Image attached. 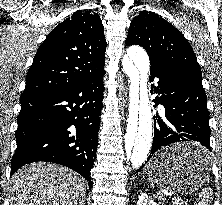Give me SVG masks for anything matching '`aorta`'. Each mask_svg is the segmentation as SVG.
I'll list each match as a JSON object with an SVG mask.
<instances>
[{
  "instance_id": "aorta-1",
  "label": "aorta",
  "mask_w": 222,
  "mask_h": 205,
  "mask_svg": "<svg viewBox=\"0 0 222 205\" xmlns=\"http://www.w3.org/2000/svg\"><path fill=\"white\" fill-rule=\"evenodd\" d=\"M122 64L130 77L131 97L123 155L127 165L138 168L146 161L152 145L153 122L146 84L150 63L143 48L132 46Z\"/></svg>"
}]
</instances>
